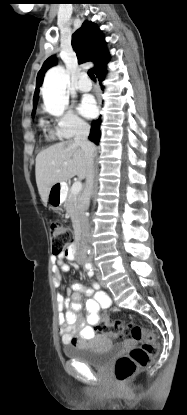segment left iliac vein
Here are the masks:
<instances>
[{
    "instance_id": "1",
    "label": "left iliac vein",
    "mask_w": 187,
    "mask_h": 415,
    "mask_svg": "<svg viewBox=\"0 0 187 415\" xmlns=\"http://www.w3.org/2000/svg\"><path fill=\"white\" fill-rule=\"evenodd\" d=\"M96 277H97V279H98V281H99L100 285H103V283H102V278H101V275H100V273H99V272H96Z\"/></svg>"
}]
</instances>
